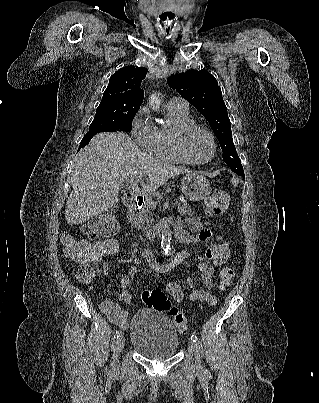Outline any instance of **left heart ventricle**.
Listing matches in <instances>:
<instances>
[{"label":"left heart ventricle","instance_id":"b2bd125f","mask_svg":"<svg viewBox=\"0 0 319 403\" xmlns=\"http://www.w3.org/2000/svg\"><path fill=\"white\" fill-rule=\"evenodd\" d=\"M186 147L190 156L198 161L209 159L213 152L210 139L201 130H194L188 135Z\"/></svg>","mask_w":319,"mask_h":403}]
</instances>
